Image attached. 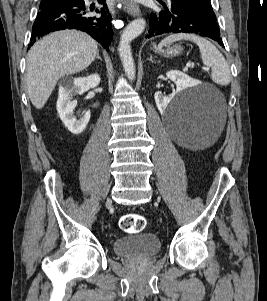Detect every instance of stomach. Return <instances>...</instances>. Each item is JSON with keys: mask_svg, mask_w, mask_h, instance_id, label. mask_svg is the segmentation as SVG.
Wrapping results in <instances>:
<instances>
[{"mask_svg": "<svg viewBox=\"0 0 267 301\" xmlns=\"http://www.w3.org/2000/svg\"><path fill=\"white\" fill-rule=\"evenodd\" d=\"M155 50L157 53L167 56V57H173V56H177L182 52V48L179 45H175V46H167L165 49L163 48H156L154 46Z\"/></svg>", "mask_w": 267, "mask_h": 301, "instance_id": "stomach-1", "label": "stomach"}]
</instances>
